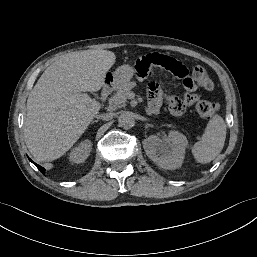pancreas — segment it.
I'll use <instances>...</instances> for the list:
<instances>
[{
  "label": "pancreas",
  "instance_id": "cf45deb5",
  "mask_svg": "<svg viewBox=\"0 0 257 257\" xmlns=\"http://www.w3.org/2000/svg\"><path fill=\"white\" fill-rule=\"evenodd\" d=\"M136 86L135 82H126L119 86L117 92L109 99L108 109L113 111L126 105L129 93Z\"/></svg>",
  "mask_w": 257,
  "mask_h": 257
}]
</instances>
